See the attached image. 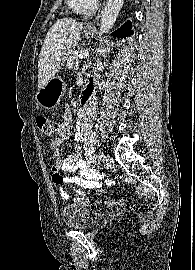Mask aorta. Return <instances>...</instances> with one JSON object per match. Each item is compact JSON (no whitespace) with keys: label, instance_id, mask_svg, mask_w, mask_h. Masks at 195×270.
Segmentation results:
<instances>
[{"label":"aorta","instance_id":"762f6f07","mask_svg":"<svg viewBox=\"0 0 195 270\" xmlns=\"http://www.w3.org/2000/svg\"><path fill=\"white\" fill-rule=\"evenodd\" d=\"M124 4V0H108L100 20V31L109 33L118 17V14Z\"/></svg>","mask_w":195,"mask_h":270}]
</instances>
